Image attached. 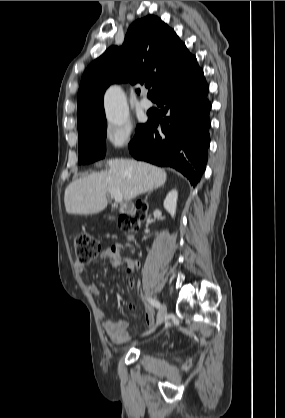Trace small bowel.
Returning a JSON list of instances; mask_svg holds the SVG:
<instances>
[{"label":"small bowel","instance_id":"c3829d8e","mask_svg":"<svg viewBox=\"0 0 285 418\" xmlns=\"http://www.w3.org/2000/svg\"><path fill=\"white\" fill-rule=\"evenodd\" d=\"M101 257L108 260L113 267L124 265V272L127 275L133 274L138 266V263L132 260L124 262L121 258L120 250L116 247L105 248L101 252ZM75 269L78 273H83L86 270V267L81 263H76ZM128 282L130 285L133 284V280L131 278ZM85 284L91 294H98V288L91 280L87 279ZM100 316L102 318L104 330L114 344H122L129 339L128 321L125 318L112 321L102 313H100ZM146 320L148 322H151L152 320V311L150 309L146 310Z\"/></svg>","mask_w":285,"mask_h":418}]
</instances>
